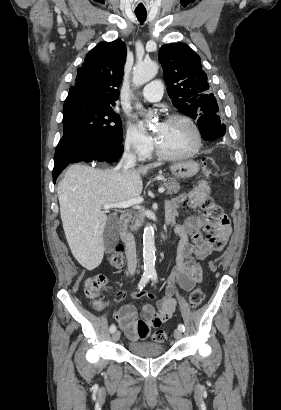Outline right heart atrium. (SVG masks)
Returning a JSON list of instances; mask_svg holds the SVG:
<instances>
[{
  "label": "right heart atrium",
  "mask_w": 281,
  "mask_h": 410,
  "mask_svg": "<svg viewBox=\"0 0 281 410\" xmlns=\"http://www.w3.org/2000/svg\"><path fill=\"white\" fill-rule=\"evenodd\" d=\"M124 145L126 149L136 154L139 158L148 157L153 150L151 138L132 124L127 127Z\"/></svg>",
  "instance_id": "d8ad5b80"
}]
</instances>
